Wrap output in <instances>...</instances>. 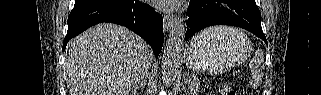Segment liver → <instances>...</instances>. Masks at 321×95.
<instances>
[{"mask_svg": "<svg viewBox=\"0 0 321 95\" xmlns=\"http://www.w3.org/2000/svg\"><path fill=\"white\" fill-rule=\"evenodd\" d=\"M152 62L151 49L142 38L104 23L68 42L64 73L71 95H128Z\"/></svg>", "mask_w": 321, "mask_h": 95, "instance_id": "liver-1", "label": "liver"}]
</instances>
